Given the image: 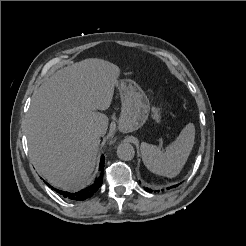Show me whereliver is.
<instances>
[{"instance_id":"obj_1","label":"liver","mask_w":246,"mask_h":246,"mask_svg":"<svg viewBox=\"0 0 246 246\" xmlns=\"http://www.w3.org/2000/svg\"><path fill=\"white\" fill-rule=\"evenodd\" d=\"M118 66L86 59L62 68L32 96L25 122L30 158L53 186L79 190L91 181L107 110L118 83ZM101 135V136H102Z\"/></svg>"}]
</instances>
